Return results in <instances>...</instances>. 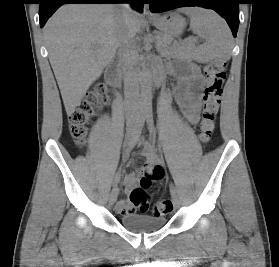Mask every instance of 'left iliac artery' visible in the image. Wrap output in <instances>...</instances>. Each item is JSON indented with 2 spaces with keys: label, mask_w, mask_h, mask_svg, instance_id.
<instances>
[{
  "label": "left iliac artery",
  "mask_w": 279,
  "mask_h": 267,
  "mask_svg": "<svg viewBox=\"0 0 279 267\" xmlns=\"http://www.w3.org/2000/svg\"><path fill=\"white\" fill-rule=\"evenodd\" d=\"M146 120H147L149 132L152 135V137L154 138L155 137L154 120H153V115L151 112L146 114ZM170 193L172 195L176 194V188L172 183L170 184Z\"/></svg>",
  "instance_id": "44dca946"
}]
</instances>
